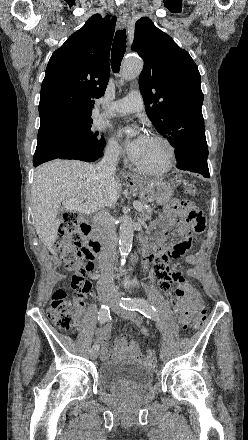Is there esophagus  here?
<instances>
[{"instance_id":"1","label":"esophagus","mask_w":248,"mask_h":440,"mask_svg":"<svg viewBox=\"0 0 248 440\" xmlns=\"http://www.w3.org/2000/svg\"><path fill=\"white\" fill-rule=\"evenodd\" d=\"M119 20L121 23V27H126L129 22V12L126 9L119 10ZM123 178L125 180H132L133 175L129 172H123Z\"/></svg>"}]
</instances>
